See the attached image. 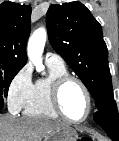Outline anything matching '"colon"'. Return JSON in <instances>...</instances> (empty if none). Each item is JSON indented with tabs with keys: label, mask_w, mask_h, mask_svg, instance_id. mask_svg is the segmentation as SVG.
Here are the masks:
<instances>
[{
	"label": "colon",
	"mask_w": 119,
	"mask_h": 141,
	"mask_svg": "<svg viewBox=\"0 0 119 141\" xmlns=\"http://www.w3.org/2000/svg\"><path fill=\"white\" fill-rule=\"evenodd\" d=\"M77 141H91V138H89V137H81V138H78Z\"/></svg>",
	"instance_id": "1"
}]
</instances>
